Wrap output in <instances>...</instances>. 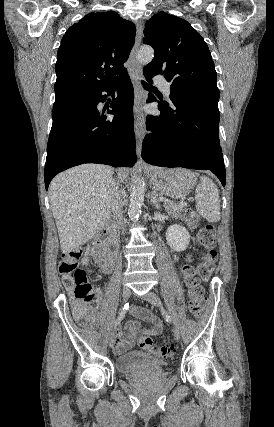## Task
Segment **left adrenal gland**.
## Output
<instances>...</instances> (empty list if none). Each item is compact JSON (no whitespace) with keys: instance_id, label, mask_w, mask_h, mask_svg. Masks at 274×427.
<instances>
[{"instance_id":"left-adrenal-gland-1","label":"left adrenal gland","mask_w":274,"mask_h":427,"mask_svg":"<svg viewBox=\"0 0 274 427\" xmlns=\"http://www.w3.org/2000/svg\"><path fill=\"white\" fill-rule=\"evenodd\" d=\"M150 204H154V206H155V208H157V210H159V208H161V204H160V200L157 196L156 188H152Z\"/></svg>"}]
</instances>
